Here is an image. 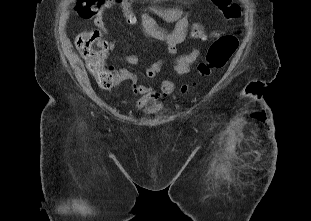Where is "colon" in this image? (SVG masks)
<instances>
[{"label":"colon","mask_w":311,"mask_h":221,"mask_svg":"<svg viewBox=\"0 0 311 221\" xmlns=\"http://www.w3.org/2000/svg\"><path fill=\"white\" fill-rule=\"evenodd\" d=\"M122 1L125 3L127 0ZM128 2H131V0H128ZM118 3L119 0L73 1L72 7L74 10L72 11V15L79 17L81 22H87L89 17H98L101 8H103L104 12H111V5L104 4ZM216 3L219 4V9H222L224 16L228 20H235L237 17L242 16V2H235V0H216ZM127 18L130 21L134 20V16L131 13L127 14ZM188 29L194 39L203 40L205 38L204 28L200 22H192ZM241 34L242 32L239 31L232 32L228 37L224 34L211 44L206 59L198 65L199 80L204 76H210L213 70L220 69L226 65L238 48L239 36ZM75 45L84 57L86 66L98 85L103 88L111 86L115 82L116 77L112 70L105 64L109 52V44L102 38V34L97 30L83 31L77 35ZM199 80L194 81V85ZM188 89L189 86L184 84L180 87L179 91L186 93Z\"/></svg>","instance_id":"obj_1"}]
</instances>
